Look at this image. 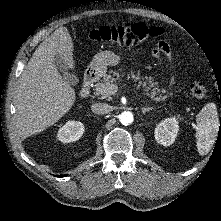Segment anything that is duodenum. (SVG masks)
I'll list each match as a JSON object with an SVG mask.
<instances>
[{
  "label": "duodenum",
  "mask_w": 221,
  "mask_h": 221,
  "mask_svg": "<svg viewBox=\"0 0 221 221\" xmlns=\"http://www.w3.org/2000/svg\"><path fill=\"white\" fill-rule=\"evenodd\" d=\"M97 80V74L95 71H88L84 77L83 85L80 91L82 98H87L90 94L91 87Z\"/></svg>",
  "instance_id": "410a0bca"
}]
</instances>
